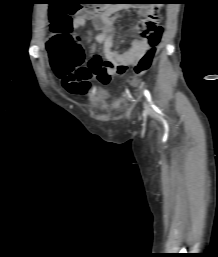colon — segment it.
<instances>
[{
	"instance_id": "obj_1",
	"label": "colon",
	"mask_w": 218,
	"mask_h": 257,
	"mask_svg": "<svg viewBox=\"0 0 218 257\" xmlns=\"http://www.w3.org/2000/svg\"><path fill=\"white\" fill-rule=\"evenodd\" d=\"M51 37L47 42L51 63L59 77L67 78L85 62V54L78 35L72 33L70 15L80 10L79 5H49ZM90 10V5L84 6ZM136 10H147L146 17L139 22L137 30L149 41V49L144 53L134 68L136 76L143 75L150 68L156 46L162 36L159 16L154 5H136ZM89 67V64H88Z\"/></svg>"
}]
</instances>
